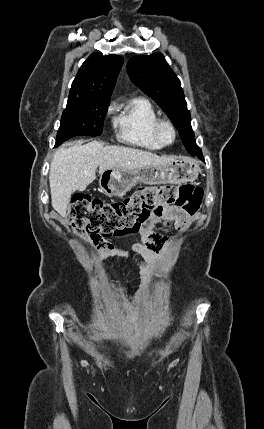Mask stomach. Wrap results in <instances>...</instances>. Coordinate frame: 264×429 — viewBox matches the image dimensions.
<instances>
[{"label":"stomach","mask_w":264,"mask_h":429,"mask_svg":"<svg viewBox=\"0 0 264 429\" xmlns=\"http://www.w3.org/2000/svg\"><path fill=\"white\" fill-rule=\"evenodd\" d=\"M199 172L198 161L189 157H180L161 166H146L137 170H105L100 174L99 185L106 195L120 197L137 183L184 184L196 180Z\"/></svg>","instance_id":"0dacf381"}]
</instances>
